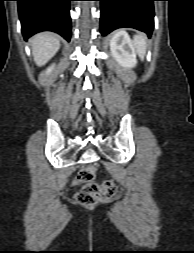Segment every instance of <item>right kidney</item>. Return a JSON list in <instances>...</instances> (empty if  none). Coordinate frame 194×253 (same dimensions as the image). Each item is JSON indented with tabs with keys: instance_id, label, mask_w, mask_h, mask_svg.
<instances>
[{
	"instance_id": "1",
	"label": "right kidney",
	"mask_w": 194,
	"mask_h": 253,
	"mask_svg": "<svg viewBox=\"0 0 194 253\" xmlns=\"http://www.w3.org/2000/svg\"><path fill=\"white\" fill-rule=\"evenodd\" d=\"M54 66H51L48 70L47 73L51 72Z\"/></svg>"
}]
</instances>
